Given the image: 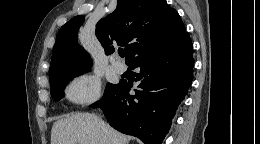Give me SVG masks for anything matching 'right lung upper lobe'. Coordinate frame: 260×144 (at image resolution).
Returning a JSON list of instances; mask_svg holds the SVG:
<instances>
[{
    "mask_svg": "<svg viewBox=\"0 0 260 144\" xmlns=\"http://www.w3.org/2000/svg\"><path fill=\"white\" fill-rule=\"evenodd\" d=\"M83 22V15L76 16L59 30L49 76L92 66L89 53L77 42V32ZM185 34L178 12L166 0H118L116 10L96 25V36L105 53H113V45L123 46L127 63L139 55L178 41Z\"/></svg>",
    "mask_w": 260,
    "mask_h": 144,
    "instance_id": "obj_1",
    "label": "right lung upper lobe"
}]
</instances>
